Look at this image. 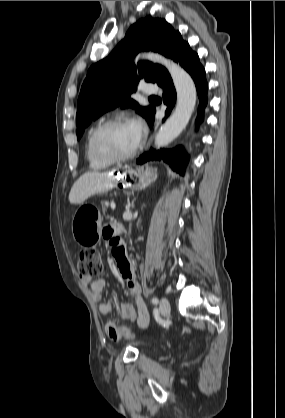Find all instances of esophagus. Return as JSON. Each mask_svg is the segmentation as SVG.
<instances>
[{"instance_id":"34e87169","label":"esophagus","mask_w":285,"mask_h":418,"mask_svg":"<svg viewBox=\"0 0 285 418\" xmlns=\"http://www.w3.org/2000/svg\"><path fill=\"white\" fill-rule=\"evenodd\" d=\"M152 137H153V136H151V137H150V139H149V141H148V144H147V146H146V150H147V149H148V147L150 146V143H151Z\"/></svg>"}]
</instances>
